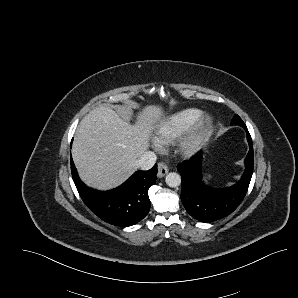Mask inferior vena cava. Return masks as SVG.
<instances>
[{"label":"inferior vena cava","mask_w":298,"mask_h":298,"mask_svg":"<svg viewBox=\"0 0 298 298\" xmlns=\"http://www.w3.org/2000/svg\"><path fill=\"white\" fill-rule=\"evenodd\" d=\"M157 161V155L153 151H145L141 158L137 161V166L141 170L151 169Z\"/></svg>","instance_id":"1"}]
</instances>
